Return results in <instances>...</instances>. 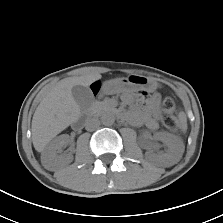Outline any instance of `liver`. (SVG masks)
<instances>
[{
	"mask_svg": "<svg viewBox=\"0 0 223 223\" xmlns=\"http://www.w3.org/2000/svg\"><path fill=\"white\" fill-rule=\"evenodd\" d=\"M101 79L98 73L61 80L42 99L32 119V141L36 151L43 152L60 132L77 121L80 107L72 96L76 85L90 86Z\"/></svg>",
	"mask_w": 223,
	"mask_h": 223,
	"instance_id": "6515ba94",
	"label": "liver"
}]
</instances>
